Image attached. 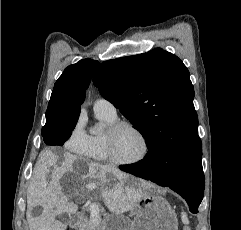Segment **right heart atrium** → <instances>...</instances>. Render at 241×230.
I'll use <instances>...</instances> for the list:
<instances>
[{"label": "right heart atrium", "mask_w": 241, "mask_h": 230, "mask_svg": "<svg viewBox=\"0 0 241 230\" xmlns=\"http://www.w3.org/2000/svg\"><path fill=\"white\" fill-rule=\"evenodd\" d=\"M90 136L81 123H77L68 136L65 147L76 154H84L89 146Z\"/></svg>", "instance_id": "d8ad5b80"}]
</instances>
